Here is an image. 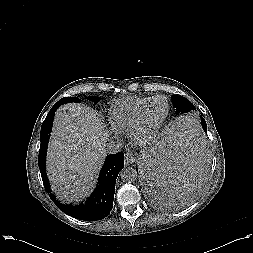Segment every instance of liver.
<instances>
[{"label": "liver", "mask_w": 253, "mask_h": 253, "mask_svg": "<svg viewBox=\"0 0 253 253\" xmlns=\"http://www.w3.org/2000/svg\"><path fill=\"white\" fill-rule=\"evenodd\" d=\"M108 134L97 113L66 104L55 114L47 152V172L58 197L79 202L88 196L106 156Z\"/></svg>", "instance_id": "6515ba94"}]
</instances>
